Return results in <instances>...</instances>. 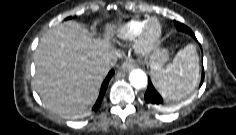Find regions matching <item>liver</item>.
I'll use <instances>...</instances> for the list:
<instances>
[{
	"mask_svg": "<svg viewBox=\"0 0 236 135\" xmlns=\"http://www.w3.org/2000/svg\"><path fill=\"white\" fill-rule=\"evenodd\" d=\"M104 39H96L75 21L59 24L41 38L35 53L33 80L43 104L60 115L85 111L96 99L108 73L115 26H107Z\"/></svg>",
	"mask_w": 236,
	"mask_h": 135,
	"instance_id": "liver-1",
	"label": "liver"
}]
</instances>
